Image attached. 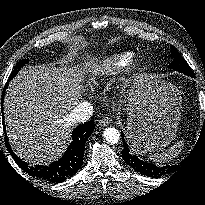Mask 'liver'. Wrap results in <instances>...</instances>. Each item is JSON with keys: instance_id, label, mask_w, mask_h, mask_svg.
Segmentation results:
<instances>
[{"instance_id": "obj_1", "label": "liver", "mask_w": 205, "mask_h": 205, "mask_svg": "<svg viewBox=\"0 0 205 205\" xmlns=\"http://www.w3.org/2000/svg\"><path fill=\"white\" fill-rule=\"evenodd\" d=\"M97 74L98 61L88 64ZM77 69L25 67L10 83L4 102L6 129L15 153L38 163L58 157L68 141V116L77 104Z\"/></svg>"}]
</instances>
